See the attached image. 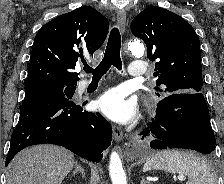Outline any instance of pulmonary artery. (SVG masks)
<instances>
[{
  "mask_svg": "<svg viewBox=\"0 0 224 184\" xmlns=\"http://www.w3.org/2000/svg\"><path fill=\"white\" fill-rule=\"evenodd\" d=\"M147 66L142 61H133L130 65L129 75L134 78L143 77L147 74ZM89 84V81L82 80L79 85V90H84Z\"/></svg>",
  "mask_w": 224,
  "mask_h": 184,
  "instance_id": "e3ab8cb5",
  "label": "pulmonary artery"
}]
</instances>
